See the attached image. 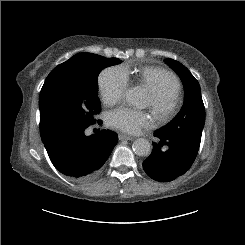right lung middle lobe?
I'll return each mask as SVG.
<instances>
[{
  "label": "right lung middle lobe",
  "mask_w": 245,
  "mask_h": 245,
  "mask_svg": "<svg viewBox=\"0 0 245 245\" xmlns=\"http://www.w3.org/2000/svg\"><path fill=\"white\" fill-rule=\"evenodd\" d=\"M45 80L40 92L42 141L71 128H87L101 111L97 97L100 71L121 62L91 53H79Z\"/></svg>",
  "instance_id": "1"
}]
</instances>
